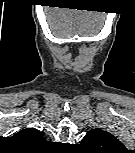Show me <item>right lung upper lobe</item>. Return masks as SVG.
Wrapping results in <instances>:
<instances>
[{"mask_svg": "<svg viewBox=\"0 0 135 153\" xmlns=\"http://www.w3.org/2000/svg\"><path fill=\"white\" fill-rule=\"evenodd\" d=\"M16 136L21 137L22 139H25L27 141H32V142L44 140L40 131L35 128L23 129V130L19 131L16 134Z\"/></svg>", "mask_w": 135, "mask_h": 153, "instance_id": "cb5924a9", "label": "right lung upper lobe"}]
</instances>
